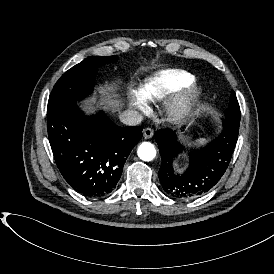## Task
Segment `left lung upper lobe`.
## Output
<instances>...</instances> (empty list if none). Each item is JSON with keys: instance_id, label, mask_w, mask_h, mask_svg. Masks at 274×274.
Listing matches in <instances>:
<instances>
[{"instance_id": "left-lung-upper-lobe-1", "label": "left lung upper lobe", "mask_w": 274, "mask_h": 274, "mask_svg": "<svg viewBox=\"0 0 274 274\" xmlns=\"http://www.w3.org/2000/svg\"><path fill=\"white\" fill-rule=\"evenodd\" d=\"M225 122L239 126L240 124V107L235 92H231L230 104L225 111Z\"/></svg>"}]
</instances>
